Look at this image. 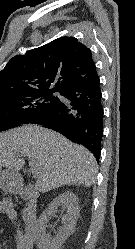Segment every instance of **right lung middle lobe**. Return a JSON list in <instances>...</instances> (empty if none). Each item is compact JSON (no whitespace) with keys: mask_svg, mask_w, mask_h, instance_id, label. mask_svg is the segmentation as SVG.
Masks as SVG:
<instances>
[{"mask_svg":"<svg viewBox=\"0 0 135 249\" xmlns=\"http://www.w3.org/2000/svg\"><path fill=\"white\" fill-rule=\"evenodd\" d=\"M56 91H35L0 98V131L26 124L59 100Z\"/></svg>","mask_w":135,"mask_h":249,"instance_id":"obj_1","label":"right lung middle lobe"}]
</instances>
